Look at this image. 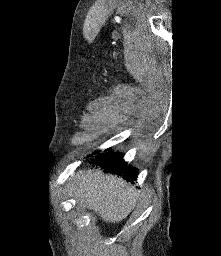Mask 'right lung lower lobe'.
Returning <instances> with one entry per match:
<instances>
[{"mask_svg": "<svg viewBox=\"0 0 221 256\" xmlns=\"http://www.w3.org/2000/svg\"><path fill=\"white\" fill-rule=\"evenodd\" d=\"M89 163L103 167L106 172L115 173L119 176H123L126 180L130 182L136 180L137 169L132 166L126 165L120 153H99L96 156V160H92Z\"/></svg>", "mask_w": 221, "mask_h": 256, "instance_id": "right-lung-lower-lobe-1", "label": "right lung lower lobe"}]
</instances>
